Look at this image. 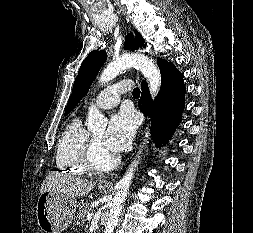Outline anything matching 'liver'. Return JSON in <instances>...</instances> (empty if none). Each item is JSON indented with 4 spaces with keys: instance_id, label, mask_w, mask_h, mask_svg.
I'll return each mask as SVG.
<instances>
[{
    "instance_id": "liver-1",
    "label": "liver",
    "mask_w": 253,
    "mask_h": 233,
    "mask_svg": "<svg viewBox=\"0 0 253 233\" xmlns=\"http://www.w3.org/2000/svg\"><path fill=\"white\" fill-rule=\"evenodd\" d=\"M95 183L58 172L49 173L43 181L40 193L58 191L70 197H80L88 194Z\"/></svg>"
}]
</instances>
